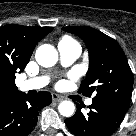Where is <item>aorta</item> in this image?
Wrapping results in <instances>:
<instances>
[{
  "label": "aorta",
  "instance_id": "762f6f07",
  "mask_svg": "<svg viewBox=\"0 0 136 136\" xmlns=\"http://www.w3.org/2000/svg\"><path fill=\"white\" fill-rule=\"evenodd\" d=\"M36 61L43 67H52L58 60L57 50L50 44H43L37 50L35 54ZM58 110L61 115L70 117L74 114L75 105L71 101H62Z\"/></svg>",
  "mask_w": 136,
  "mask_h": 136
}]
</instances>
